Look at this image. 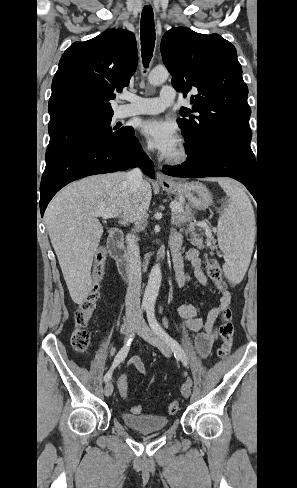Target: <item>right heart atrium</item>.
Masks as SVG:
<instances>
[{
  "instance_id": "obj_1",
  "label": "right heart atrium",
  "mask_w": 297,
  "mask_h": 488,
  "mask_svg": "<svg viewBox=\"0 0 297 488\" xmlns=\"http://www.w3.org/2000/svg\"><path fill=\"white\" fill-rule=\"evenodd\" d=\"M148 150H149V146H148V145H143V146H142V151H143V152H145V153H146V152H148Z\"/></svg>"
}]
</instances>
